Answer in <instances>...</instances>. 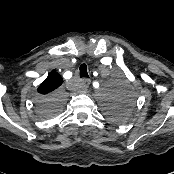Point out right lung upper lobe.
Masks as SVG:
<instances>
[{
    "instance_id": "right-lung-upper-lobe-1",
    "label": "right lung upper lobe",
    "mask_w": 174,
    "mask_h": 174,
    "mask_svg": "<svg viewBox=\"0 0 174 174\" xmlns=\"http://www.w3.org/2000/svg\"><path fill=\"white\" fill-rule=\"evenodd\" d=\"M62 82V77L56 71H52L38 87V92L41 94L51 93L56 90Z\"/></svg>"
}]
</instances>
